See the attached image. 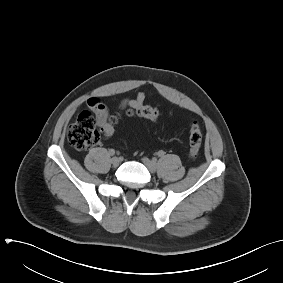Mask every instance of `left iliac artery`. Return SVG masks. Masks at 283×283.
<instances>
[{
	"label": "left iliac artery",
	"instance_id": "left-iliac-artery-1",
	"mask_svg": "<svg viewBox=\"0 0 283 283\" xmlns=\"http://www.w3.org/2000/svg\"><path fill=\"white\" fill-rule=\"evenodd\" d=\"M164 154H165V152H164V151H162V150H160V151L158 152V156H159V157H163V156H164Z\"/></svg>",
	"mask_w": 283,
	"mask_h": 283
}]
</instances>
